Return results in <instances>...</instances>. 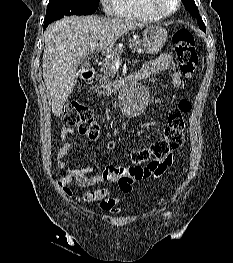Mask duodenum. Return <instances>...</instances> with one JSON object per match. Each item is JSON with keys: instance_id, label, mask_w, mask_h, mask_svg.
<instances>
[{"instance_id": "obj_1", "label": "duodenum", "mask_w": 233, "mask_h": 263, "mask_svg": "<svg viewBox=\"0 0 233 263\" xmlns=\"http://www.w3.org/2000/svg\"><path fill=\"white\" fill-rule=\"evenodd\" d=\"M96 77V70L93 68H88L82 72V79L86 82H92ZM146 78V74L139 70L132 75L130 73H123L122 75H115V89L122 87V83H129L134 81L143 80Z\"/></svg>"}]
</instances>
